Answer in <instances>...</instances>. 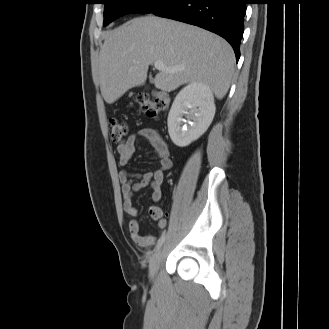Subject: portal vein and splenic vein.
<instances>
[{
  "label": "portal vein and splenic vein",
  "instance_id": "18ae733b",
  "mask_svg": "<svg viewBox=\"0 0 329 329\" xmlns=\"http://www.w3.org/2000/svg\"><path fill=\"white\" fill-rule=\"evenodd\" d=\"M154 67L159 71H168V72H175L177 69L173 68H167L162 61H155Z\"/></svg>",
  "mask_w": 329,
  "mask_h": 329
}]
</instances>
